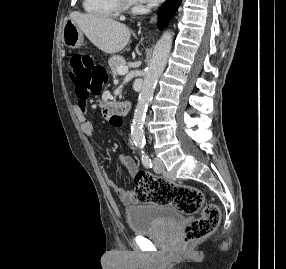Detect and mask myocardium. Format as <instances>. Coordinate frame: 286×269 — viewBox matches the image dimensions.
Masks as SVG:
<instances>
[{"label": "myocardium", "instance_id": "obj_1", "mask_svg": "<svg viewBox=\"0 0 286 269\" xmlns=\"http://www.w3.org/2000/svg\"><path fill=\"white\" fill-rule=\"evenodd\" d=\"M118 7L122 11L129 10L134 5V0H116Z\"/></svg>", "mask_w": 286, "mask_h": 269}]
</instances>
